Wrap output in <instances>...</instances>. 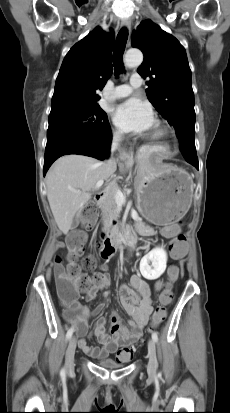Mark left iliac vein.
<instances>
[{"label":"left iliac vein","instance_id":"left-iliac-vein-1","mask_svg":"<svg viewBox=\"0 0 230 413\" xmlns=\"http://www.w3.org/2000/svg\"><path fill=\"white\" fill-rule=\"evenodd\" d=\"M148 356L149 361L147 365L148 374L154 376L158 367L157 356H156V346L153 339L148 341Z\"/></svg>","mask_w":230,"mask_h":413}]
</instances>
